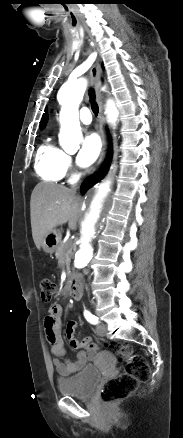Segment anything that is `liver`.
<instances>
[{
	"label": "liver",
	"mask_w": 183,
	"mask_h": 438,
	"mask_svg": "<svg viewBox=\"0 0 183 438\" xmlns=\"http://www.w3.org/2000/svg\"><path fill=\"white\" fill-rule=\"evenodd\" d=\"M80 209V198L75 190L60 185L41 182L34 188L31 201V228L39 249L45 236L55 227L68 222L74 230Z\"/></svg>",
	"instance_id": "6515ba94"
}]
</instances>
